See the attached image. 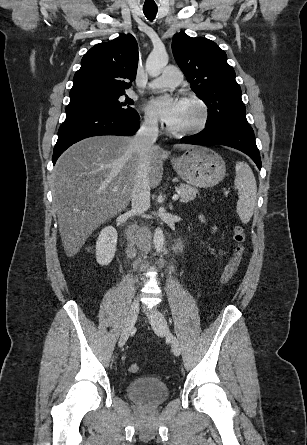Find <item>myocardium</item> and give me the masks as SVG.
<instances>
[{
	"instance_id": "myocardium-1",
	"label": "myocardium",
	"mask_w": 307,
	"mask_h": 445,
	"mask_svg": "<svg viewBox=\"0 0 307 445\" xmlns=\"http://www.w3.org/2000/svg\"><path fill=\"white\" fill-rule=\"evenodd\" d=\"M184 100L194 104L199 109L200 118L193 125L181 129H174L169 125L168 131L180 136L197 134L208 126L211 119L210 108L207 103L197 95H187Z\"/></svg>"
}]
</instances>
